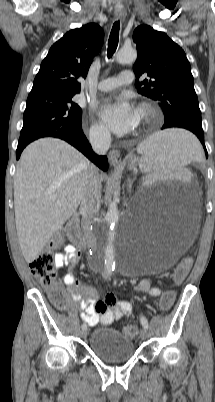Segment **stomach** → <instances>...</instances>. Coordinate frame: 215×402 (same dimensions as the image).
<instances>
[{
    "label": "stomach",
    "mask_w": 215,
    "mask_h": 402,
    "mask_svg": "<svg viewBox=\"0 0 215 402\" xmlns=\"http://www.w3.org/2000/svg\"><path fill=\"white\" fill-rule=\"evenodd\" d=\"M137 162L138 161L136 159H129V163H128L129 168L134 169L137 165Z\"/></svg>",
    "instance_id": "1"
}]
</instances>
